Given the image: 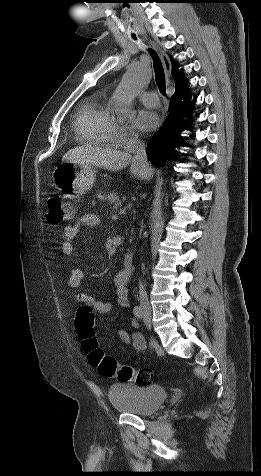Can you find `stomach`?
<instances>
[{"label": "stomach", "instance_id": "obj_1", "mask_svg": "<svg viewBox=\"0 0 261 476\" xmlns=\"http://www.w3.org/2000/svg\"><path fill=\"white\" fill-rule=\"evenodd\" d=\"M96 170L91 165L64 162L55 168L53 181L66 197L84 195L94 183Z\"/></svg>", "mask_w": 261, "mask_h": 476}]
</instances>
